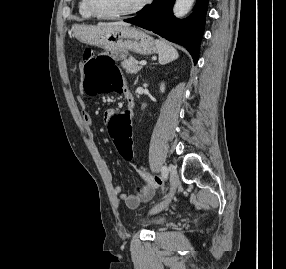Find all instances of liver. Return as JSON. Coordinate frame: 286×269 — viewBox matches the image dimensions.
<instances>
[{"instance_id": "liver-1", "label": "liver", "mask_w": 286, "mask_h": 269, "mask_svg": "<svg viewBox=\"0 0 286 269\" xmlns=\"http://www.w3.org/2000/svg\"><path fill=\"white\" fill-rule=\"evenodd\" d=\"M101 26H129V24L124 22H109V23H99Z\"/></svg>"}]
</instances>
